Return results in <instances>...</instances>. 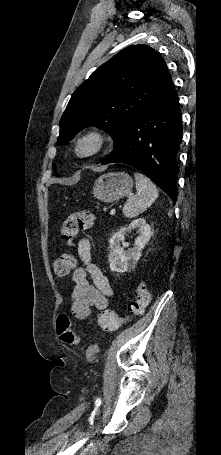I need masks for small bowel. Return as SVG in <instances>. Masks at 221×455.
Wrapping results in <instances>:
<instances>
[{
  "label": "small bowel",
  "instance_id": "1",
  "mask_svg": "<svg viewBox=\"0 0 221 455\" xmlns=\"http://www.w3.org/2000/svg\"><path fill=\"white\" fill-rule=\"evenodd\" d=\"M77 253L83 266L72 275L70 314L79 320L91 317L93 309L106 310L113 294L108 278L92 261L91 243L87 238L79 241Z\"/></svg>",
  "mask_w": 221,
  "mask_h": 455
}]
</instances>
